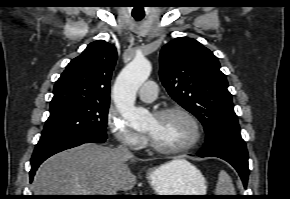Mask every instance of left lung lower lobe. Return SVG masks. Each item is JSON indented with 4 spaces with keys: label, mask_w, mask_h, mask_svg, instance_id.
<instances>
[{
    "label": "left lung lower lobe",
    "mask_w": 290,
    "mask_h": 199,
    "mask_svg": "<svg viewBox=\"0 0 290 199\" xmlns=\"http://www.w3.org/2000/svg\"><path fill=\"white\" fill-rule=\"evenodd\" d=\"M200 157H218L230 163L239 173L244 187H247L249 175L248 152L241 137H224L214 144L206 145Z\"/></svg>",
    "instance_id": "obj_1"
}]
</instances>
